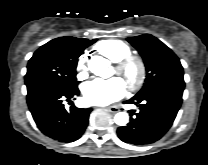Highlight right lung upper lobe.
I'll list each match as a JSON object with an SVG mask.
<instances>
[{"mask_svg": "<svg viewBox=\"0 0 208 165\" xmlns=\"http://www.w3.org/2000/svg\"><path fill=\"white\" fill-rule=\"evenodd\" d=\"M66 38H68L69 40L74 41V42H81L83 40H86V39H79V38H74V37H66Z\"/></svg>", "mask_w": 208, "mask_h": 165, "instance_id": "1", "label": "right lung upper lobe"}]
</instances>
